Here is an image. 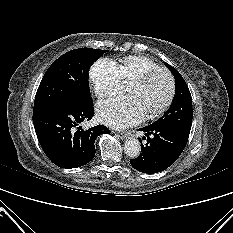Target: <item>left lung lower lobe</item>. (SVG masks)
<instances>
[{"label": "left lung lower lobe", "instance_id": "obj_1", "mask_svg": "<svg viewBox=\"0 0 233 233\" xmlns=\"http://www.w3.org/2000/svg\"><path fill=\"white\" fill-rule=\"evenodd\" d=\"M139 130L146 134V145L141 141L140 156L131 159L130 163L136 170L153 174L161 172L171 166L183 152L188 136L178 132L171 126L153 123Z\"/></svg>", "mask_w": 233, "mask_h": 233}]
</instances>
